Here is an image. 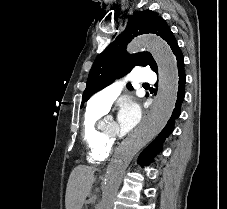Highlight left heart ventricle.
<instances>
[{"instance_id": "left-heart-ventricle-1", "label": "left heart ventricle", "mask_w": 227, "mask_h": 209, "mask_svg": "<svg viewBox=\"0 0 227 209\" xmlns=\"http://www.w3.org/2000/svg\"><path fill=\"white\" fill-rule=\"evenodd\" d=\"M107 133L113 134V135H120L123 136L124 134L119 129L118 124L115 121H111L106 129H104Z\"/></svg>"}]
</instances>
